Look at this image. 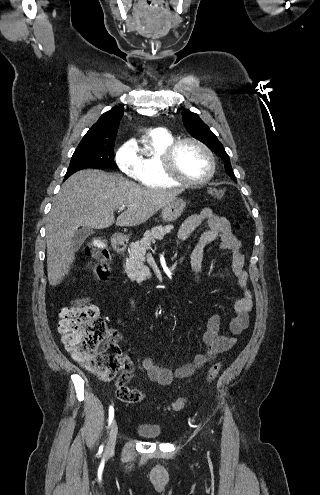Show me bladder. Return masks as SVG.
Here are the masks:
<instances>
[{"label": "bladder", "mask_w": 320, "mask_h": 495, "mask_svg": "<svg viewBox=\"0 0 320 495\" xmlns=\"http://www.w3.org/2000/svg\"><path fill=\"white\" fill-rule=\"evenodd\" d=\"M137 432L140 436L149 439H156L161 436V427L152 423H141L137 426Z\"/></svg>", "instance_id": "1"}]
</instances>
